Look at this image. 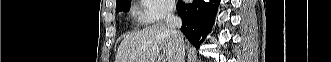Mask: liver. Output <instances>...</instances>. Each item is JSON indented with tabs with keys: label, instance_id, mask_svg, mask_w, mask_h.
<instances>
[{
	"label": "liver",
	"instance_id": "6515ba94",
	"mask_svg": "<svg viewBox=\"0 0 331 62\" xmlns=\"http://www.w3.org/2000/svg\"><path fill=\"white\" fill-rule=\"evenodd\" d=\"M165 48L167 62H175L173 35L164 24H153L127 35L118 48L115 62H157Z\"/></svg>",
	"mask_w": 331,
	"mask_h": 62
}]
</instances>
